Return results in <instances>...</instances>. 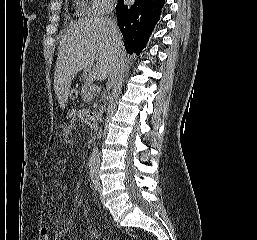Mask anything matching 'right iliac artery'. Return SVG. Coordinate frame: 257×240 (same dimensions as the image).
Wrapping results in <instances>:
<instances>
[{"label":"right iliac artery","instance_id":"right-iliac-artery-1","mask_svg":"<svg viewBox=\"0 0 257 240\" xmlns=\"http://www.w3.org/2000/svg\"><path fill=\"white\" fill-rule=\"evenodd\" d=\"M98 184V181H93V185L96 191L98 190Z\"/></svg>","mask_w":257,"mask_h":240}]
</instances>
